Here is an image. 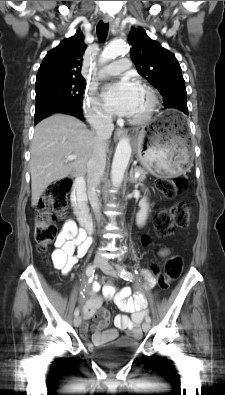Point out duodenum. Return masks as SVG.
Returning <instances> with one entry per match:
<instances>
[{
  "label": "duodenum",
  "mask_w": 225,
  "mask_h": 395,
  "mask_svg": "<svg viewBox=\"0 0 225 395\" xmlns=\"http://www.w3.org/2000/svg\"><path fill=\"white\" fill-rule=\"evenodd\" d=\"M71 201L80 225L87 233H92L93 220L86 204V183L81 176L74 181Z\"/></svg>",
  "instance_id": "1"
}]
</instances>
